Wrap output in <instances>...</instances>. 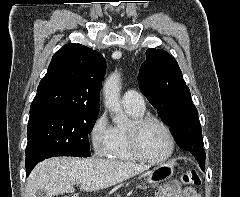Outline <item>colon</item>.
Here are the masks:
<instances>
[{"label": "colon", "instance_id": "colon-1", "mask_svg": "<svg viewBox=\"0 0 240 197\" xmlns=\"http://www.w3.org/2000/svg\"><path fill=\"white\" fill-rule=\"evenodd\" d=\"M182 180L187 185L199 186L201 184L200 174L196 170H187L182 175ZM160 197H165L167 194V189L162 187L158 192ZM64 197H78L77 195H70Z\"/></svg>", "mask_w": 240, "mask_h": 197}]
</instances>
